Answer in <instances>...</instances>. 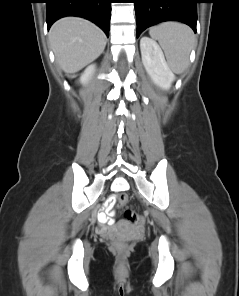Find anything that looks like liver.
<instances>
[{
  "label": "liver",
  "mask_w": 239,
  "mask_h": 296,
  "mask_svg": "<svg viewBox=\"0 0 239 296\" xmlns=\"http://www.w3.org/2000/svg\"><path fill=\"white\" fill-rule=\"evenodd\" d=\"M49 40L56 61L67 74L80 71L98 58L106 46V35L95 24L78 17L55 22Z\"/></svg>",
  "instance_id": "obj_1"
}]
</instances>
